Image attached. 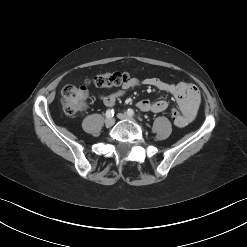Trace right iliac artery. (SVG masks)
Listing matches in <instances>:
<instances>
[{
  "mask_svg": "<svg viewBox=\"0 0 247 247\" xmlns=\"http://www.w3.org/2000/svg\"><path fill=\"white\" fill-rule=\"evenodd\" d=\"M114 116V111L113 109H108L106 111V117L109 118V117H113Z\"/></svg>",
  "mask_w": 247,
  "mask_h": 247,
  "instance_id": "82829eb1",
  "label": "right iliac artery"
}]
</instances>
